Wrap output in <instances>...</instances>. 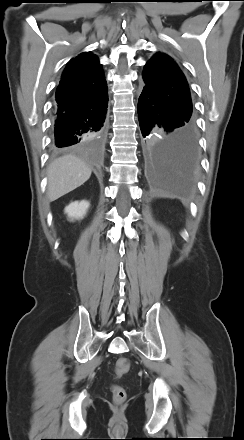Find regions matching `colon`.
Returning a JSON list of instances; mask_svg holds the SVG:
<instances>
[{"label": "colon", "instance_id": "colon-1", "mask_svg": "<svg viewBox=\"0 0 244 440\" xmlns=\"http://www.w3.org/2000/svg\"><path fill=\"white\" fill-rule=\"evenodd\" d=\"M129 369V361L126 358H119L116 362L115 366V374L116 376H121L126 373ZM113 400L115 403L120 404L123 403L126 399V391L120 385H113L111 387Z\"/></svg>", "mask_w": 244, "mask_h": 440}]
</instances>
